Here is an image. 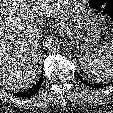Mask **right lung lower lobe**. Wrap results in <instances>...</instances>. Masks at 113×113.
<instances>
[{
	"mask_svg": "<svg viewBox=\"0 0 113 113\" xmlns=\"http://www.w3.org/2000/svg\"><path fill=\"white\" fill-rule=\"evenodd\" d=\"M43 79H44L43 75H41L38 82L36 84H34L32 88H29L28 91L15 93L14 95L17 97H24V98L31 97V96L35 95L39 91V89L42 85Z\"/></svg>",
	"mask_w": 113,
	"mask_h": 113,
	"instance_id": "1",
	"label": "right lung lower lobe"
}]
</instances>
